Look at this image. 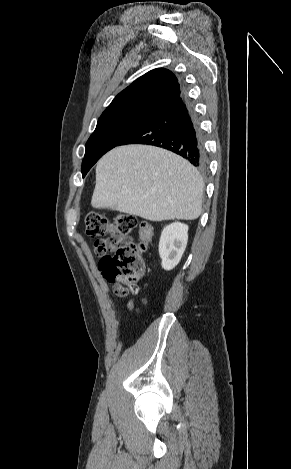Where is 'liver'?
Listing matches in <instances>:
<instances>
[{
    "label": "liver",
    "mask_w": 291,
    "mask_h": 469,
    "mask_svg": "<svg viewBox=\"0 0 291 469\" xmlns=\"http://www.w3.org/2000/svg\"><path fill=\"white\" fill-rule=\"evenodd\" d=\"M203 192L204 182L187 160L154 146L126 145L98 161L91 204L150 221L194 220Z\"/></svg>",
    "instance_id": "6515ba94"
}]
</instances>
